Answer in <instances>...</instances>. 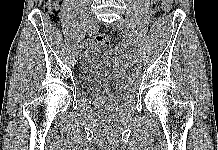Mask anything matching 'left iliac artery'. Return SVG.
Here are the masks:
<instances>
[{
  "instance_id": "44dca946",
  "label": "left iliac artery",
  "mask_w": 218,
  "mask_h": 150,
  "mask_svg": "<svg viewBox=\"0 0 218 150\" xmlns=\"http://www.w3.org/2000/svg\"><path fill=\"white\" fill-rule=\"evenodd\" d=\"M126 41H127V51L130 53L134 48L131 46V45H134V41H135V38L132 37V33L129 31L127 33V38H126Z\"/></svg>"
}]
</instances>
